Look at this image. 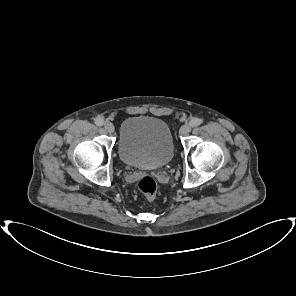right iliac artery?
I'll return each instance as SVG.
<instances>
[{
    "label": "right iliac artery",
    "mask_w": 296,
    "mask_h": 296,
    "mask_svg": "<svg viewBox=\"0 0 296 296\" xmlns=\"http://www.w3.org/2000/svg\"><path fill=\"white\" fill-rule=\"evenodd\" d=\"M95 124H96L97 126H102V125L104 124V120H103V118H101V117H97V118L95 119Z\"/></svg>",
    "instance_id": "right-iliac-artery-1"
}]
</instances>
